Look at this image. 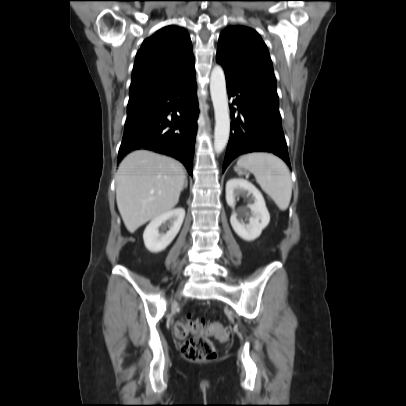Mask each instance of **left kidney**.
Instances as JSON below:
<instances>
[{"label": "left kidney", "instance_id": "obj_1", "mask_svg": "<svg viewBox=\"0 0 406 406\" xmlns=\"http://www.w3.org/2000/svg\"><path fill=\"white\" fill-rule=\"evenodd\" d=\"M240 195L251 196L253 203L248 204L250 213L249 222L245 224L237 219V213L233 211L230 223L236 234L246 241H253L258 238L262 230L269 224L270 215L266 208L265 200L261 192L250 182L241 178H233L226 183V201L234 208L236 198Z\"/></svg>", "mask_w": 406, "mask_h": 406}]
</instances>
